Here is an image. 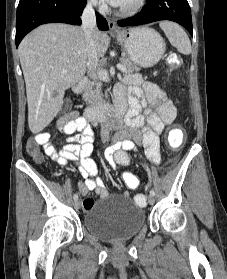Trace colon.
<instances>
[{
	"mask_svg": "<svg viewBox=\"0 0 227 279\" xmlns=\"http://www.w3.org/2000/svg\"><path fill=\"white\" fill-rule=\"evenodd\" d=\"M70 108H71V105L69 103H66L64 105V110H65L66 114H68ZM183 140H184V134L178 128L170 131L169 142L172 147H179L183 143ZM26 149H27L28 154L30 156H32L36 161L42 160V155L40 153V150L34 142L29 141L27 143ZM122 177H123V181L127 187L137 188L139 186L140 179L137 175L127 172V173H124ZM138 196L145 199L144 194H138ZM135 201L138 205L143 203V200L138 197L135 199Z\"/></svg>",
	"mask_w": 227,
	"mask_h": 279,
	"instance_id": "5ec220e1",
	"label": "colon"
}]
</instances>
